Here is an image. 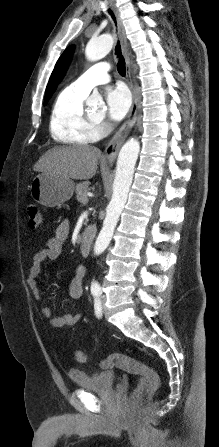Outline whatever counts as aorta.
<instances>
[{
    "label": "aorta",
    "instance_id": "obj_1",
    "mask_svg": "<svg viewBox=\"0 0 219 447\" xmlns=\"http://www.w3.org/2000/svg\"><path fill=\"white\" fill-rule=\"evenodd\" d=\"M114 39L110 34L92 38L85 50L88 60L97 61L105 57L112 49ZM140 151L137 139H129L121 148L116 165L113 194L106 208L103 227L95 242V254H101L109 245L120 214L126 204L130 186L133 180L134 168Z\"/></svg>",
    "mask_w": 219,
    "mask_h": 447
}]
</instances>
